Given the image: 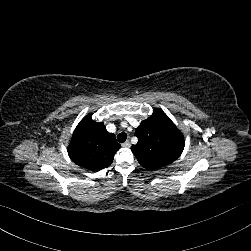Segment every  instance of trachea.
I'll use <instances>...</instances> for the list:
<instances>
[{
    "instance_id": "trachea-1",
    "label": "trachea",
    "mask_w": 251,
    "mask_h": 251,
    "mask_svg": "<svg viewBox=\"0 0 251 251\" xmlns=\"http://www.w3.org/2000/svg\"><path fill=\"white\" fill-rule=\"evenodd\" d=\"M126 139H127V134L126 133H119L118 136H117V140L120 143L125 142Z\"/></svg>"
}]
</instances>
